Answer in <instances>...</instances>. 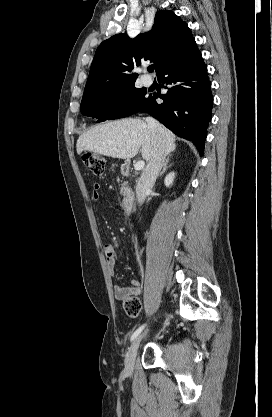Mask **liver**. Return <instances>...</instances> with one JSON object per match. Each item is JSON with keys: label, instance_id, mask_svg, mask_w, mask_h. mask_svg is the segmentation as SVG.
Returning a JSON list of instances; mask_svg holds the SVG:
<instances>
[{"label": "liver", "instance_id": "liver-1", "mask_svg": "<svg viewBox=\"0 0 272 417\" xmlns=\"http://www.w3.org/2000/svg\"><path fill=\"white\" fill-rule=\"evenodd\" d=\"M163 128L166 154L176 148L174 134ZM152 134L147 123L141 119L129 118L96 125L80 135L77 140L78 154L90 151L97 154L119 159H130L141 154L147 162L152 151Z\"/></svg>", "mask_w": 272, "mask_h": 417}]
</instances>
